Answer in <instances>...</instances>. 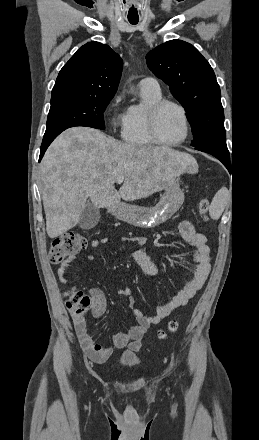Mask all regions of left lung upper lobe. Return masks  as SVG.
<instances>
[{
  "label": "left lung upper lobe",
  "mask_w": 259,
  "mask_h": 440,
  "mask_svg": "<svg viewBox=\"0 0 259 440\" xmlns=\"http://www.w3.org/2000/svg\"><path fill=\"white\" fill-rule=\"evenodd\" d=\"M149 69L166 84L187 112L193 147L226 143L220 87L208 61L191 44L171 40L151 50Z\"/></svg>",
  "instance_id": "5c2ea615"
}]
</instances>
